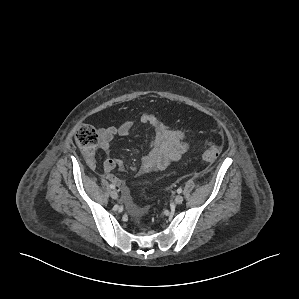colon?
<instances>
[{
    "label": "colon",
    "mask_w": 299,
    "mask_h": 299,
    "mask_svg": "<svg viewBox=\"0 0 299 299\" xmlns=\"http://www.w3.org/2000/svg\"><path fill=\"white\" fill-rule=\"evenodd\" d=\"M75 140L86 156L92 159L99 143L97 131L91 125H80L76 131ZM221 150V144H211L202 152V157L204 160L212 161L219 156Z\"/></svg>",
    "instance_id": "1"
}]
</instances>
